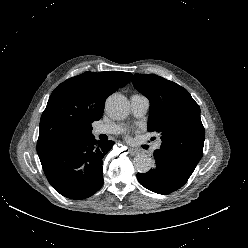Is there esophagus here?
<instances>
[{
  "instance_id": "obj_1",
  "label": "esophagus",
  "mask_w": 248,
  "mask_h": 248,
  "mask_svg": "<svg viewBox=\"0 0 248 248\" xmlns=\"http://www.w3.org/2000/svg\"><path fill=\"white\" fill-rule=\"evenodd\" d=\"M128 151H129V153H130L131 155H136V154L139 153V151H138L137 149H134V148H129Z\"/></svg>"
}]
</instances>
